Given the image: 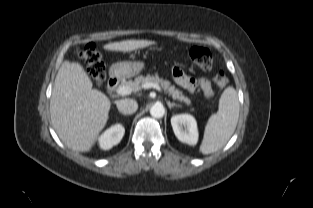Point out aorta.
I'll return each mask as SVG.
<instances>
[{"label":"aorta","mask_w":313,"mask_h":208,"mask_svg":"<svg viewBox=\"0 0 313 208\" xmlns=\"http://www.w3.org/2000/svg\"><path fill=\"white\" fill-rule=\"evenodd\" d=\"M150 114L154 118H162L165 114V108L161 103H155L150 108Z\"/></svg>","instance_id":"1"}]
</instances>
